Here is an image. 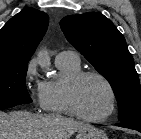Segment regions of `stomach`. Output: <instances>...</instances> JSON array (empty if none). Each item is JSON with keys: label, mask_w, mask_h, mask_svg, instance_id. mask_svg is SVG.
I'll list each match as a JSON object with an SVG mask.
<instances>
[{"label": "stomach", "mask_w": 141, "mask_h": 139, "mask_svg": "<svg viewBox=\"0 0 141 139\" xmlns=\"http://www.w3.org/2000/svg\"><path fill=\"white\" fill-rule=\"evenodd\" d=\"M76 139H108V137L102 130L89 125L77 132Z\"/></svg>", "instance_id": "stomach-1"}]
</instances>
